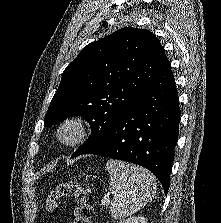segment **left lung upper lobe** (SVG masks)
<instances>
[{
	"label": "left lung upper lobe",
	"instance_id": "obj_1",
	"mask_svg": "<svg viewBox=\"0 0 221 223\" xmlns=\"http://www.w3.org/2000/svg\"><path fill=\"white\" fill-rule=\"evenodd\" d=\"M166 60L159 40L146 29L126 27L90 43L64 70L44 126L86 117L92 133L72 157L80 155L108 134Z\"/></svg>",
	"mask_w": 221,
	"mask_h": 223
}]
</instances>
